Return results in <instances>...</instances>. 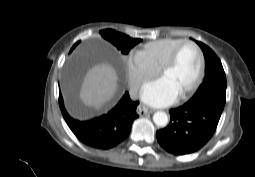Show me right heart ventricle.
<instances>
[{
  "label": "right heart ventricle",
  "instance_id": "right-heart-ventricle-1",
  "mask_svg": "<svg viewBox=\"0 0 255 177\" xmlns=\"http://www.w3.org/2000/svg\"><path fill=\"white\" fill-rule=\"evenodd\" d=\"M182 38H164L149 42L138 52L150 65L159 70L172 53L173 49L180 44Z\"/></svg>",
  "mask_w": 255,
  "mask_h": 177
}]
</instances>
